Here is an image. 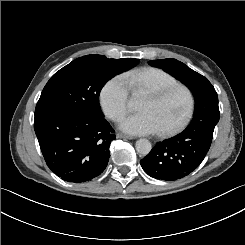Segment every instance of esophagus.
Here are the masks:
<instances>
[{"label": "esophagus", "instance_id": "obj_1", "mask_svg": "<svg viewBox=\"0 0 245 245\" xmlns=\"http://www.w3.org/2000/svg\"><path fill=\"white\" fill-rule=\"evenodd\" d=\"M116 138H125V139H128V140L135 139V137H133V136L125 135V134H122V133H117L116 134Z\"/></svg>", "mask_w": 245, "mask_h": 245}]
</instances>
